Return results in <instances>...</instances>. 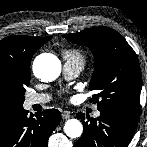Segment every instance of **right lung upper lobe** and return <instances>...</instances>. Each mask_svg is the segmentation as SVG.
I'll return each mask as SVG.
<instances>
[{
  "label": "right lung upper lobe",
  "mask_w": 147,
  "mask_h": 147,
  "mask_svg": "<svg viewBox=\"0 0 147 147\" xmlns=\"http://www.w3.org/2000/svg\"><path fill=\"white\" fill-rule=\"evenodd\" d=\"M51 37L8 36L0 41V65L14 67L30 74V62L36 52Z\"/></svg>",
  "instance_id": "obj_1"
}]
</instances>
